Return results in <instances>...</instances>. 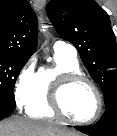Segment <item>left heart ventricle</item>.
Masks as SVG:
<instances>
[{
  "mask_svg": "<svg viewBox=\"0 0 117 136\" xmlns=\"http://www.w3.org/2000/svg\"><path fill=\"white\" fill-rule=\"evenodd\" d=\"M64 101L67 112L77 119H89L97 110L96 95L85 83L71 87L65 94Z\"/></svg>",
  "mask_w": 117,
  "mask_h": 136,
  "instance_id": "1",
  "label": "left heart ventricle"
}]
</instances>
